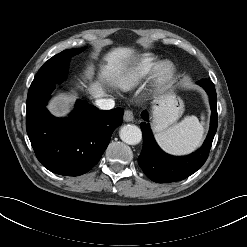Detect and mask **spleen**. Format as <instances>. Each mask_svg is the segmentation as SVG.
Segmentation results:
<instances>
[{"label":"spleen","mask_w":247,"mask_h":247,"mask_svg":"<svg viewBox=\"0 0 247 247\" xmlns=\"http://www.w3.org/2000/svg\"><path fill=\"white\" fill-rule=\"evenodd\" d=\"M200 122L196 116H185L184 119L158 132L155 136L158 145L172 155H186L200 146L204 136V116Z\"/></svg>","instance_id":"3e777b00"}]
</instances>
